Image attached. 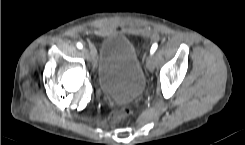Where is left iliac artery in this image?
Listing matches in <instances>:
<instances>
[{"mask_svg": "<svg viewBox=\"0 0 245 145\" xmlns=\"http://www.w3.org/2000/svg\"><path fill=\"white\" fill-rule=\"evenodd\" d=\"M157 47H158V44L154 43L151 47L150 53L153 54L156 51Z\"/></svg>", "mask_w": 245, "mask_h": 145, "instance_id": "1", "label": "left iliac artery"}]
</instances>
